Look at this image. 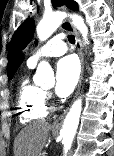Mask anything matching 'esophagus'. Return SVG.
Returning <instances> with one entry per match:
<instances>
[{
  "label": "esophagus",
  "mask_w": 114,
  "mask_h": 156,
  "mask_svg": "<svg viewBox=\"0 0 114 156\" xmlns=\"http://www.w3.org/2000/svg\"><path fill=\"white\" fill-rule=\"evenodd\" d=\"M62 27L65 30H68L69 32L73 33V35L75 36V41H76V48L78 50V54L80 57V61H81V75H80V79H79V83H78V88H77V92L76 95H78L81 84H82V79H83V71H84V54H83V46H82V42L81 39L79 37V34L77 32V30L75 29V27L73 26V24L71 23L70 20H64L62 22ZM69 108H67L52 124L53 127L58 128L61 127L64 118L68 112Z\"/></svg>",
  "instance_id": "34e87169"
}]
</instances>
